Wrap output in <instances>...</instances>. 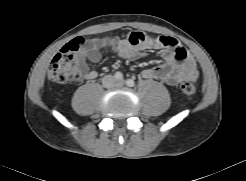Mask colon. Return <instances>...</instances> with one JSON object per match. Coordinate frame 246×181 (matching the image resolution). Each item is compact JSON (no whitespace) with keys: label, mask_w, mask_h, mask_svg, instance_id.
I'll return each instance as SVG.
<instances>
[{"label":"colon","mask_w":246,"mask_h":181,"mask_svg":"<svg viewBox=\"0 0 246 181\" xmlns=\"http://www.w3.org/2000/svg\"><path fill=\"white\" fill-rule=\"evenodd\" d=\"M159 38L143 32H134L129 35V40L133 45L154 43ZM83 42V37H77L53 57L48 67L49 80L63 84L82 79L84 65L82 59L76 55V52L83 45ZM181 91L185 96L191 98L196 93V86L193 81L187 80L181 84Z\"/></svg>","instance_id":"1"}]
</instances>
